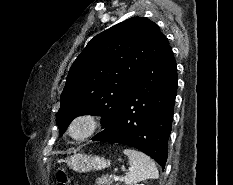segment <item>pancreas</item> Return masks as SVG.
Segmentation results:
<instances>
[{
  "instance_id": "pancreas-1",
  "label": "pancreas",
  "mask_w": 233,
  "mask_h": 185,
  "mask_svg": "<svg viewBox=\"0 0 233 185\" xmlns=\"http://www.w3.org/2000/svg\"><path fill=\"white\" fill-rule=\"evenodd\" d=\"M112 183L113 180H111V178H109L108 176H101L96 180V185H111Z\"/></svg>"
}]
</instances>
